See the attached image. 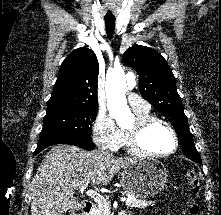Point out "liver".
Here are the masks:
<instances>
[{
    "mask_svg": "<svg viewBox=\"0 0 221 215\" xmlns=\"http://www.w3.org/2000/svg\"><path fill=\"white\" fill-rule=\"evenodd\" d=\"M137 160L72 145L52 147L31 182V215H64L76 205V190L89 184L95 189L106 186L117 172Z\"/></svg>",
    "mask_w": 221,
    "mask_h": 215,
    "instance_id": "6515ba94",
    "label": "liver"
}]
</instances>
